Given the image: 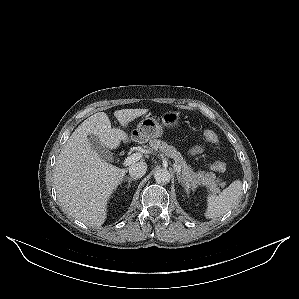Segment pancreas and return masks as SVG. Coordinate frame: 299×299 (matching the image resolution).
I'll return each mask as SVG.
<instances>
[{
	"mask_svg": "<svg viewBox=\"0 0 299 299\" xmlns=\"http://www.w3.org/2000/svg\"><path fill=\"white\" fill-rule=\"evenodd\" d=\"M150 146L154 150H160L166 156L173 158L176 166L181 168L182 177L191 182L193 185H204L211 192L217 193L220 191L219 186H223L221 179L217 178L213 172L198 171L194 172L190 166L186 164L181 153L177 149L167 144L166 142L154 139L150 141Z\"/></svg>",
	"mask_w": 299,
	"mask_h": 299,
	"instance_id": "1",
	"label": "pancreas"
}]
</instances>
